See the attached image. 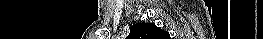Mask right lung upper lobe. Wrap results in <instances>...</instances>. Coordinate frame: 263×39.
I'll return each instance as SVG.
<instances>
[{"mask_svg":"<svg viewBox=\"0 0 263 39\" xmlns=\"http://www.w3.org/2000/svg\"><path fill=\"white\" fill-rule=\"evenodd\" d=\"M129 39H167L169 34L152 23H137L130 29Z\"/></svg>","mask_w":263,"mask_h":39,"instance_id":"obj_1","label":"right lung upper lobe"}]
</instances>
